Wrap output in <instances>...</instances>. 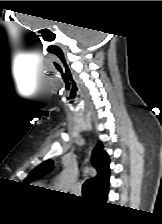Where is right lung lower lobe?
Instances as JSON below:
<instances>
[{"instance_id":"98d812e1","label":"right lung lower lobe","mask_w":162,"mask_h":224,"mask_svg":"<svg viewBox=\"0 0 162 224\" xmlns=\"http://www.w3.org/2000/svg\"><path fill=\"white\" fill-rule=\"evenodd\" d=\"M108 192H109V190H108L106 193L100 195V196L98 197V199H100V200H102V201H106V199H107V197H108Z\"/></svg>"}]
</instances>
